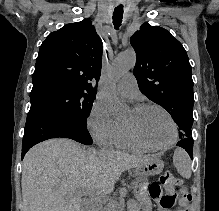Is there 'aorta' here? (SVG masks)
<instances>
[{
    "instance_id": "762f6f07",
    "label": "aorta",
    "mask_w": 219,
    "mask_h": 211,
    "mask_svg": "<svg viewBox=\"0 0 219 211\" xmlns=\"http://www.w3.org/2000/svg\"><path fill=\"white\" fill-rule=\"evenodd\" d=\"M135 62L136 55L134 51H126L117 56L110 69L109 77L111 79V84L102 90L101 96L105 102L109 115L113 118L123 116L128 110L127 105L119 100L114 89L113 81L127 73L135 65ZM104 211H116V202H109L105 206Z\"/></svg>"
}]
</instances>
